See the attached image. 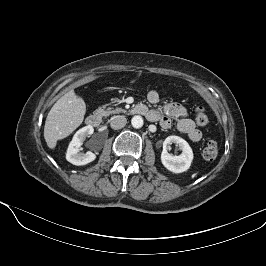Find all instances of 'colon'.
Returning a JSON list of instances; mask_svg holds the SVG:
<instances>
[{"label":"colon","instance_id":"obj_1","mask_svg":"<svg viewBox=\"0 0 266 266\" xmlns=\"http://www.w3.org/2000/svg\"><path fill=\"white\" fill-rule=\"evenodd\" d=\"M195 121L199 126L207 125L209 119L203 108H197L195 111ZM218 155V144L215 140H208L202 148V156L206 160H213Z\"/></svg>","mask_w":266,"mask_h":266}]
</instances>
